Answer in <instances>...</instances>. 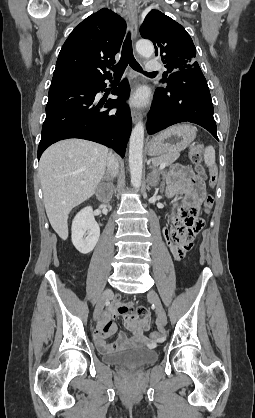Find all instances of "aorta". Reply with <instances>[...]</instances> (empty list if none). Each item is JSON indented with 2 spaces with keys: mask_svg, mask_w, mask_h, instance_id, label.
Instances as JSON below:
<instances>
[{
  "mask_svg": "<svg viewBox=\"0 0 255 418\" xmlns=\"http://www.w3.org/2000/svg\"><path fill=\"white\" fill-rule=\"evenodd\" d=\"M136 50L142 56L150 57L154 53V46L148 40H139L136 43ZM144 129V124L140 121L135 125L130 136L129 169L134 188H139L142 181Z\"/></svg>",
  "mask_w": 255,
  "mask_h": 418,
  "instance_id": "762f6f07",
  "label": "aorta"
}]
</instances>
